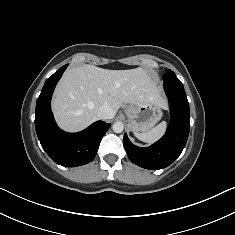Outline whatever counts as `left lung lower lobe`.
I'll return each mask as SVG.
<instances>
[{"label":"left lung lower lobe","instance_id":"1","mask_svg":"<svg viewBox=\"0 0 235 235\" xmlns=\"http://www.w3.org/2000/svg\"><path fill=\"white\" fill-rule=\"evenodd\" d=\"M163 79L171 112L170 125L164 136L145 148L133 145L126 133L123 138L129 159L150 170L165 168L177 159L186 145L190 129L189 103L183 84L177 77L163 76Z\"/></svg>","mask_w":235,"mask_h":235}]
</instances>
